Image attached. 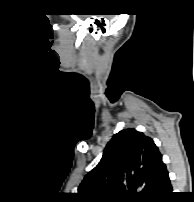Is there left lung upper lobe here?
<instances>
[{"instance_id":"obj_1","label":"left lung upper lobe","mask_w":194,"mask_h":202,"mask_svg":"<svg viewBox=\"0 0 194 202\" xmlns=\"http://www.w3.org/2000/svg\"><path fill=\"white\" fill-rule=\"evenodd\" d=\"M153 140L135 129L121 130L78 188L85 202L147 201L154 197L165 169Z\"/></svg>"}]
</instances>
